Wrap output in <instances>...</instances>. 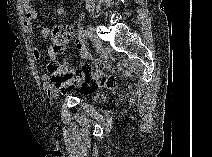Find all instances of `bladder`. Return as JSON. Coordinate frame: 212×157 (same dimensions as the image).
<instances>
[{
  "mask_svg": "<svg viewBox=\"0 0 212 157\" xmlns=\"http://www.w3.org/2000/svg\"><path fill=\"white\" fill-rule=\"evenodd\" d=\"M106 96L102 93L93 92L90 93V102L93 105L100 106L104 103Z\"/></svg>",
  "mask_w": 212,
  "mask_h": 157,
  "instance_id": "1",
  "label": "bladder"
}]
</instances>
